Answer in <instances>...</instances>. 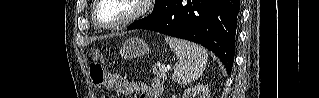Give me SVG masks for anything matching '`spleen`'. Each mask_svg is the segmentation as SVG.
Segmentation results:
<instances>
[{
  "label": "spleen",
  "instance_id": "spleen-1",
  "mask_svg": "<svg viewBox=\"0 0 319 98\" xmlns=\"http://www.w3.org/2000/svg\"><path fill=\"white\" fill-rule=\"evenodd\" d=\"M165 41L178 59L174 67V80L184 85L199 78L207 64L206 51L201 46L186 40L166 37Z\"/></svg>",
  "mask_w": 319,
  "mask_h": 98
}]
</instances>
